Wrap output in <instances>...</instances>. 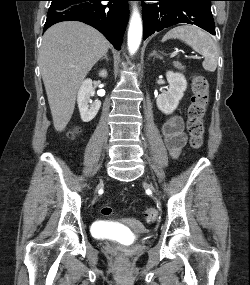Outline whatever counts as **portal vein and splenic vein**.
Returning a JSON list of instances; mask_svg holds the SVG:
<instances>
[{"label": "portal vein and splenic vein", "instance_id": "18ae733b", "mask_svg": "<svg viewBox=\"0 0 250 285\" xmlns=\"http://www.w3.org/2000/svg\"><path fill=\"white\" fill-rule=\"evenodd\" d=\"M175 54L173 53L172 56H174ZM186 58H193V59H201V57H199L198 55H192V56H185Z\"/></svg>", "mask_w": 250, "mask_h": 285}]
</instances>
